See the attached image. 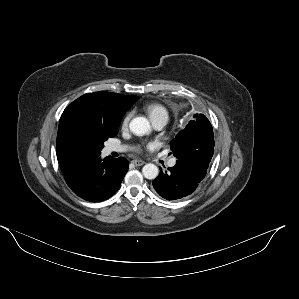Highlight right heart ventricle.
Masks as SVG:
<instances>
[{"instance_id":"e07e8e85","label":"right heart ventricle","mask_w":299,"mask_h":299,"mask_svg":"<svg viewBox=\"0 0 299 299\" xmlns=\"http://www.w3.org/2000/svg\"><path fill=\"white\" fill-rule=\"evenodd\" d=\"M144 110L152 122L160 117L168 118L167 109L160 103H156V102L147 103L144 106Z\"/></svg>"}]
</instances>
